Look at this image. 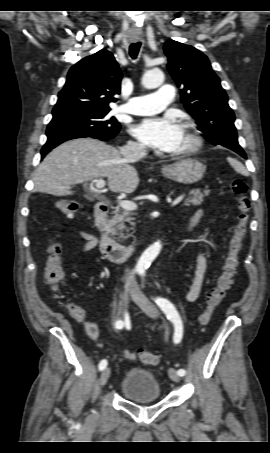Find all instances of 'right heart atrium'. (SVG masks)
<instances>
[{
  "label": "right heart atrium",
  "instance_id": "right-heart-atrium-1",
  "mask_svg": "<svg viewBox=\"0 0 270 453\" xmlns=\"http://www.w3.org/2000/svg\"><path fill=\"white\" fill-rule=\"evenodd\" d=\"M128 145L130 148L137 149V150H141L143 148V146L140 143L135 142V141H130Z\"/></svg>",
  "mask_w": 270,
  "mask_h": 453
}]
</instances>
